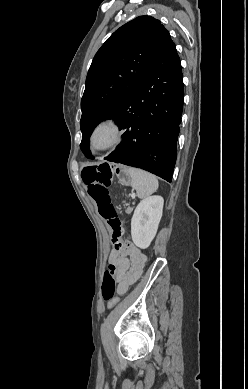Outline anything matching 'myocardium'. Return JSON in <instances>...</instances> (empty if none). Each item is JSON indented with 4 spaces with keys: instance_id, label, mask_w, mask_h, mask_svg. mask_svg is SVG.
I'll list each match as a JSON object with an SVG mask.
<instances>
[{
    "instance_id": "1",
    "label": "myocardium",
    "mask_w": 248,
    "mask_h": 389,
    "mask_svg": "<svg viewBox=\"0 0 248 389\" xmlns=\"http://www.w3.org/2000/svg\"><path fill=\"white\" fill-rule=\"evenodd\" d=\"M124 131L114 119H105L95 125L92 130L90 144L97 151L103 152L119 145Z\"/></svg>"
}]
</instances>
